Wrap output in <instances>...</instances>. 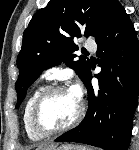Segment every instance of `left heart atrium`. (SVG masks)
<instances>
[{"label": "left heart atrium", "instance_id": "left-heart-atrium-1", "mask_svg": "<svg viewBox=\"0 0 139 150\" xmlns=\"http://www.w3.org/2000/svg\"><path fill=\"white\" fill-rule=\"evenodd\" d=\"M70 91L72 92V94L77 98L80 99L81 97V88L79 85L75 84L71 87Z\"/></svg>", "mask_w": 139, "mask_h": 150}]
</instances>
